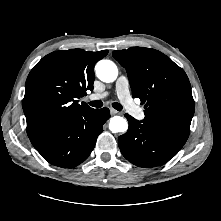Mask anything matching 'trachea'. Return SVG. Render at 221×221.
I'll return each mask as SVG.
<instances>
[{"label": "trachea", "instance_id": "1", "mask_svg": "<svg viewBox=\"0 0 221 221\" xmlns=\"http://www.w3.org/2000/svg\"><path fill=\"white\" fill-rule=\"evenodd\" d=\"M89 105L92 107L100 108L103 106V102L101 100H95V101L89 102ZM112 106L118 111H121L123 109L122 105L118 102H114Z\"/></svg>", "mask_w": 221, "mask_h": 221}]
</instances>
